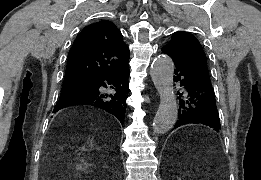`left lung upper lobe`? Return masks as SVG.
<instances>
[{
    "label": "left lung upper lobe",
    "instance_id": "1",
    "mask_svg": "<svg viewBox=\"0 0 261 180\" xmlns=\"http://www.w3.org/2000/svg\"><path fill=\"white\" fill-rule=\"evenodd\" d=\"M177 59L194 67L209 77L204 50L195 36L186 32H175L172 40L164 46Z\"/></svg>",
    "mask_w": 261,
    "mask_h": 180
}]
</instances>
